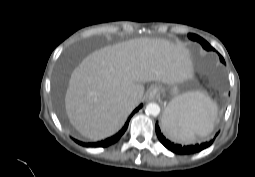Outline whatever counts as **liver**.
I'll list each match as a JSON object with an SVG mask.
<instances>
[{
    "label": "liver",
    "instance_id": "1",
    "mask_svg": "<svg viewBox=\"0 0 255 177\" xmlns=\"http://www.w3.org/2000/svg\"><path fill=\"white\" fill-rule=\"evenodd\" d=\"M193 77L182 44L137 38L89 54L71 74L65 94L70 123L91 141L112 136L142 101L143 83L174 85ZM134 98L135 104L129 99Z\"/></svg>",
    "mask_w": 255,
    "mask_h": 177
}]
</instances>
